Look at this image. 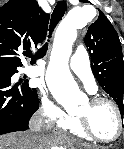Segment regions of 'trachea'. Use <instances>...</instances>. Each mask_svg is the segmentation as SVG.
<instances>
[{"mask_svg":"<svg viewBox=\"0 0 124 149\" xmlns=\"http://www.w3.org/2000/svg\"><path fill=\"white\" fill-rule=\"evenodd\" d=\"M66 8H67L66 1L61 0L57 2V5L55 6V9L51 15L50 26H49L50 35L48 36L49 38L51 37V34L54 31L56 25L59 23V21L64 16Z\"/></svg>","mask_w":124,"mask_h":149,"instance_id":"obj_1","label":"trachea"}]
</instances>
